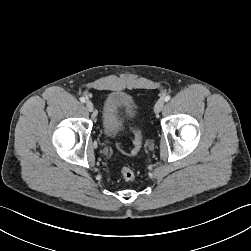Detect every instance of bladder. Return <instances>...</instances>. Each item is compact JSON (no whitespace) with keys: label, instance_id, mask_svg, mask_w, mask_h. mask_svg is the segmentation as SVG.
Listing matches in <instances>:
<instances>
[{"label":"bladder","instance_id":"obj_1","mask_svg":"<svg viewBox=\"0 0 251 251\" xmlns=\"http://www.w3.org/2000/svg\"><path fill=\"white\" fill-rule=\"evenodd\" d=\"M137 115L138 106L132 97L122 91L110 92L103 102L101 130L107 138L118 136L125 130V119Z\"/></svg>","mask_w":251,"mask_h":251}]
</instances>
